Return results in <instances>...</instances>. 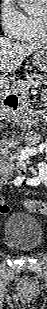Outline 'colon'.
Listing matches in <instances>:
<instances>
[{
  "label": "colon",
  "mask_w": 47,
  "mask_h": 309,
  "mask_svg": "<svg viewBox=\"0 0 47 309\" xmlns=\"http://www.w3.org/2000/svg\"><path fill=\"white\" fill-rule=\"evenodd\" d=\"M25 207L32 212L39 214H46L47 204L41 200H26L24 202ZM8 206L5 203L0 204V212L7 213Z\"/></svg>",
  "instance_id": "colon-1"
}]
</instances>
